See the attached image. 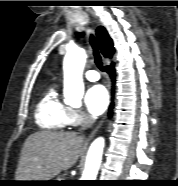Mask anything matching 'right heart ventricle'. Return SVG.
I'll use <instances>...</instances> for the list:
<instances>
[{
  "mask_svg": "<svg viewBox=\"0 0 178 186\" xmlns=\"http://www.w3.org/2000/svg\"><path fill=\"white\" fill-rule=\"evenodd\" d=\"M70 111L58 96L55 89H50L38 102L35 110L36 124L46 131H61L69 125Z\"/></svg>",
  "mask_w": 178,
  "mask_h": 186,
  "instance_id": "1",
  "label": "right heart ventricle"
}]
</instances>
